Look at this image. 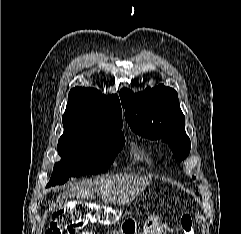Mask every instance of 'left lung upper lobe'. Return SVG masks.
Here are the masks:
<instances>
[{
	"instance_id": "5c2ea615",
	"label": "left lung upper lobe",
	"mask_w": 241,
	"mask_h": 234,
	"mask_svg": "<svg viewBox=\"0 0 241 234\" xmlns=\"http://www.w3.org/2000/svg\"><path fill=\"white\" fill-rule=\"evenodd\" d=\"M120 99L125 109V119L136 134L150 139H162L169 144L178 161L188 156L191 142L185 133V116L174 89L160 84L134 94L123 88Z\"/></svg>"
}]
</instances>
